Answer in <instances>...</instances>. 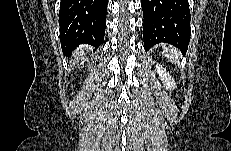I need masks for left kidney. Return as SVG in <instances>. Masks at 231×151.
Returning a JSON list of instances; mask_svg holds the SVG:
<instances>
[{"label":"left kidney","mask_w":231,"mask_h":151,"mask_svg":"<svg viewBox=\"0 0 231 151\" xmlns=\"http://www.w3.org/2000/svg\"><path fill=\"white\" fill-rule=\"evenodd\" d=\"M156 68H157V73L161 77V80L163 81L166 88L170 90L174 89L176 85L174 80H172L171 76L169 75V73H167L166 70L162 68V66H160L159 64L156 65Z\"/></svg>","instance_id":"left-kidney-1"}]
</instances>
